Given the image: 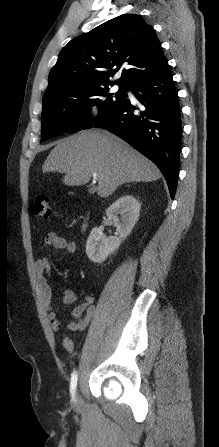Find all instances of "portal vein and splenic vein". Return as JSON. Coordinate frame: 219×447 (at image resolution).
<instances>
[{
  "mask_svg": "<svg viewBox=\"0 0 219 447\" xmlns=\"http://www.w3.org/2000/svg\"><path fill=\"white\" fill-rule=\"evenodd\" d=\"M93 177H94V178H97V174H96V173H94V174H93Z\"/></svg>",
  "mask_w": 219,
  "mask_h": 447,
  "instance_id": "obj_1",
  "label": "portal vein and splenic vein"
}]
</instances>
